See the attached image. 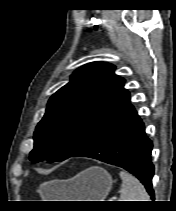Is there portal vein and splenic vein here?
I'll use <instances>...</instances> for the list:
<instances>
[{"instance_id":"1","label":"portal vein and splenic vein","mask_w":176,"mask_h":211,"mask_svg":"<svg viewBox=\"0 0 176 211\" xmlns=\"http://www.w3.org/2000/svg\"><path fill=\"white\" fill-rule=\"evenodd\" d=\"M114 199H116V197L114 196V197H112L109 201H114Z\"/></svg>"}]
</instances>
